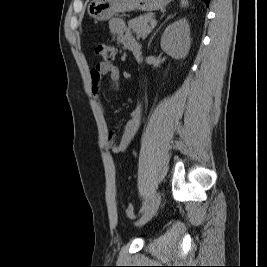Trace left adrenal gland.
Here are the masks:
<instances>
[{"instance_id":"obj_1","label":"left adrenal gland","mask_w":267,"mask_h":267,"mask_svg":"<svg viewBox=\"0 0 267 267\" xmlns=\"http://www.w3.org/2000/svg\"><path fill=\"white\" fill-rule=\"evenodd\" d=\"M171 17H172L171 15L168 16V17L166 18V20H165V21L158 27V29H157V30L154 32V34L151 36L150 41H149V43H148V48L150 47V44H151L153 38L155 37L156 33L160 30V28L162 27V25H163L166 21H168Z\"/></svg>"}]
</instances>
